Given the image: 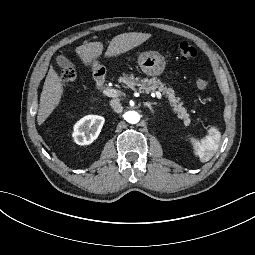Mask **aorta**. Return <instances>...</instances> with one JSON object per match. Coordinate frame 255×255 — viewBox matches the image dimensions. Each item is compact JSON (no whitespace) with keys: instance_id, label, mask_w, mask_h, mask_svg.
Returning <instances> with one entry per match:
<instances>
[{"instance_id":"aorta-1","label":"aorta","mask_w":255,"mask_h":255,"mask_svg":"<svg viewBox=\"0 0 255 255\" xmlns=\"http://www.w3.org/2000/svg\"><path fill=\"white\" fill-rule=\"evenodd\" d=\"M125 120L131 124H136L140 120V115L136 111H128L125 113Z\"/></svg>"}]
</instances>
